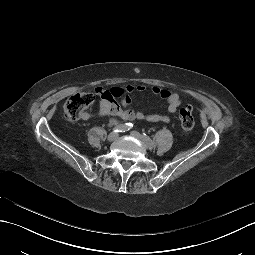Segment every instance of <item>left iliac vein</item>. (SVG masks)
Masks as SVG:
<instances>
[{"label":"left iliac vein","instance_id":"4c4485c4","mask_svg":"<svg viewBox=\"0 0 255 255\" xmlns=\"http://www.w3.org/2000/svg\"><path fill=\"white\" fill-rule=\"evenodd\" d=\"M131 135H132L133 137H135L136 139H138V140H140L141 142L144 143L143 136H142L139 132H137V131H131ZM144 145H145V147L148 148V149H152V148L154 147V145L149 146V145H146L145 143H144Z\"/></svg>","mask_w":255,"mask_h":255}]
</instances>
